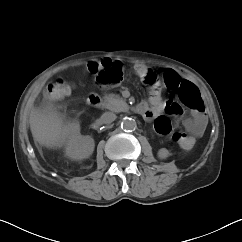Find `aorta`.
<instances>
[{
    "label": "aorta",
    "instance_id": "obj_1",
    "mask_svg": "<svg viewBox=\"0 0 242 242\" xmlns=\"http://www.w3.org/2000/svg\"><path fill=\"white\" fill-rule=\"evenodd\" d=\"M137 125L135 120H133L132 118L129 117H125L123 118L122 122H121V128L124 131H134L136 129Z\"/></svg>",
    "mask_w": 242,
    "mask_h": 242
}]
</instances>
